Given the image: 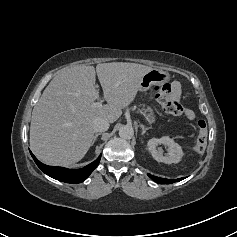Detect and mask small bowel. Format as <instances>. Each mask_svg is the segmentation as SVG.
<instances>
[{
    "mask_svg": "<svg viewBox=\"0 0 237 237\" xmlns=\"http://www.w3.org/2000/svg\"><path fill=\"white\" fill-rule=\"evenodd\" d=\"M171 94L175 98L179 97V90H178V87L175 84H173L171 86ZM185 115L190 120L194 119V112L191 109H187L186 112H185Z\"/></svg>",
    "mask_w": 237,
    "mask_h": 237,
    "instance_id": "small-bowel-1",
    "label": "small bowel"
}]
</instances>
